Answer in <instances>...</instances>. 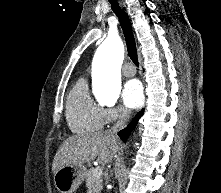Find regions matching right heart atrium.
I'll list each match as a JSON object with an SVG mask.
<instances>
[{
    "label": "right heart atrium",
    "mask_w": 221,
    "mask_h": 193,
    "mask_svg": "<svg viewBox=\"0 0 221 193\" xmlns=\"http://www.w3.org/2000/svg\"><path fill=\"white\" fill-rule=\"evenodd\" d=\"M129 112L122 106H114L104 109V123L112 124L128 117Z\"/></svg>",
    "instance_id": "1"
}]
</instances>
